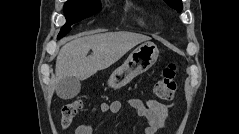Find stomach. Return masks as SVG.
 I'll list each match as a JSON object with an SVG mask.
<instances>
[{"instance_id":"stomach-1","label":"stomach","mask_w":239,"mask_h":134,"mask_svg":"<svg viewBox=\"0 0 239 134\" xmlns=\"http://www.w3.org/2000/svg\"><path fill=\"white\" fill-rule=\"evenodd\" d=\"M159 50L152 42L138 46L127 58L124 64L111 74L108 85L118 88L129 83L133 78L148 70L157 60Z\"/></svg>"}]
</instances>
